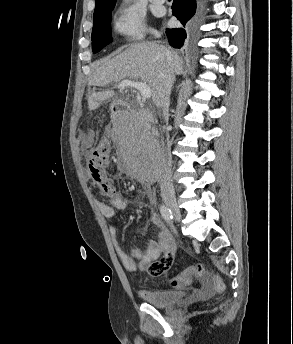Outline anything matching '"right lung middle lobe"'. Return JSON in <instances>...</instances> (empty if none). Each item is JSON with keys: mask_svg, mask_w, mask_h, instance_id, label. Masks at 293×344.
Instances as JSON below:
<instances>
[{"mask_svg": "<svg viewBox=\"0 0 293 344\" xmlns=\"http://www.w3.org/2000/svg\"><path fill=\"white\" fill-rule=\"evenodd\" d=\"M115 3L94 11V22L92 30L93 53L99 52L112 41L111 37V12Z\"/></svg>", "mask_w": 293, "mask_h": 344, "instance_id": "dd1d6c3e", "label": "right lung middle lobe"}]
</instances>
